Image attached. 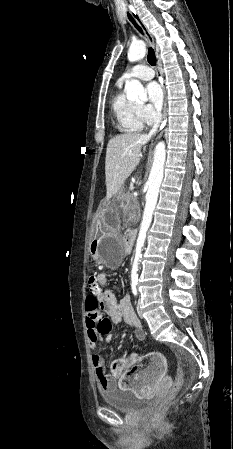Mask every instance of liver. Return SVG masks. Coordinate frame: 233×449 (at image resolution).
I'll return each mask as SVG.
<instances>
[{
	"instance_id": "1",
	"label": "liver",
	"mask_w": 233,
	"mask_h": 449,
	"mask_svg": "<svg viewBox=\"0 0 233 449\" xmlns=\"http://www.w3.org/2000/svg\"><path fill=\"white\" fill-rule=\"evenodd\" d=\"M150 136L140 133H125L112 138L107 144L105 157L106 199L110 200L123 186L139 163L141 148Z\"/></svg>"
}]
</instances>
